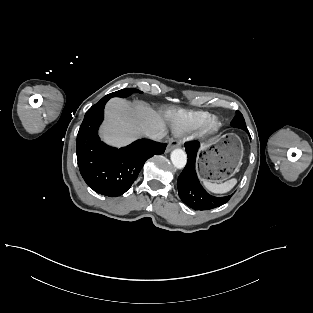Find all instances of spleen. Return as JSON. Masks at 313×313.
I'll return each mask as SVG.
<instances>
[{"mask_svg": "<svg viewBox=\"0 0 313 313\" xmlns=\"http://www.w3.org/2000/svg\"><path fill=\"white\" fill-rule=\"evenodd\" d=\"M237 183V179L233 178L224 183H213L210 180H203L204 187L215 194H223L229 192Z\"/></svg>", "mask_w": 313, "mask_h": 313, "instance_id": "obj_1", "label": "spleen"}]
</instances>
